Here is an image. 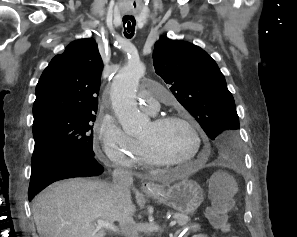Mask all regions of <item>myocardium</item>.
Here are the masks:
<instances>
[{
  "label": "myocardium",
  "mask_w": 297,
  "mask_h": 237,
  "mask_svg": "<svg viewBox=\"0 0 297 237\" xmlns=\"http://www.w3.org/2000/svg\"><path fill=\"white\" fill-rule=\"evenodd\" d=\"M152 122L155 125H162V124H167V123H182L186 125L189 130L191 131L195 142H196V151L195 153L183 160H169L162 156L160 153L155 151L148 143L144 141H140L141 145L143 146L148 160L151 162L152 165L155 166H178V165H184L187 164L191 161H194L199 158L202 146H203V141L200 132L198 131L197 127L195 124L187 117L182 116V115H162V116H157L154 117Z\"/></svg>",
  "instance_id": "f54148a6"
}]
</instances>
